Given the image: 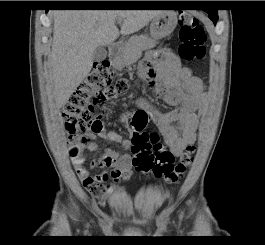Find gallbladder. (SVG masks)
<instances>
[{
	"label": "gallbladder",
	"mask_w": 265,
	"mask_h": 245,
	"mask_svg": "<svg viewBox=\"0 0 265 245\" xmlns=\"http://www.w3.org/2000/svg\"><path fill=\"white\" fill-rule=\"evenodd\" d=\"M107 57V50L104 47H97L93 53V61L99 62Z\"/></svg>",
	"instance_id": "1"
}]
</instances>
